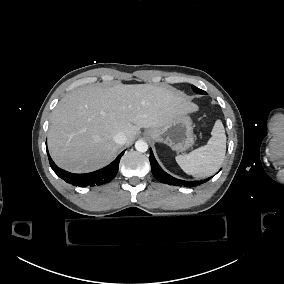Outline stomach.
Wrapping results in <instances>:
<instances>
[{"instance_id": "stomach-1", "label": "stomach", "mask_w": 284, "mask_h": 284, "mask_svg": "<svg viewBox=\"0 0 284 284\" xmlns=\"http://www.w3.org/2000/svg\"><path fill=\"white\" fill-rule=\"evenodd\" d=\"M145 135L155 142L168 145L176 152H185L194 144L193 123L190 116L180 114L167 124L150 128Z\"/></svg>"}]
</instances>
